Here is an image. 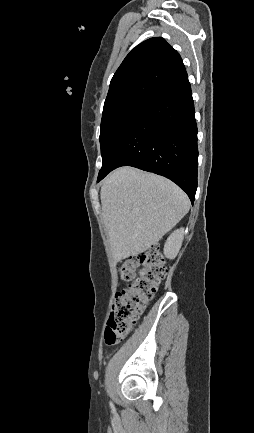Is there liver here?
<instances>
[{"mask_svg":"<svg viewBox=\"0 0 254 433\" xmlns=\"http://www.w3.org/2000/svg\"><path fill=\"white\" fill-rule=\"evenodd\" d=\"M100 196L116 262L155 245L190 208L187 195L173 182L131 167L111 173Z\"/></svg>","mask_w":254,"mask_h":433,"instance_id":"liver-1","label":"liver"}]
</instances>
